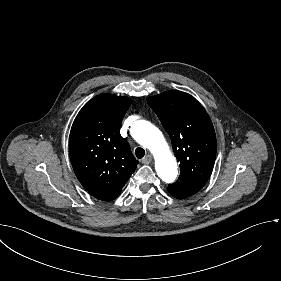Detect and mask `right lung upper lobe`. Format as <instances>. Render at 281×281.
<instances>
[{
    "mask_svg": "<svg viewBox=\"0 0 281 281\" xmlns=\"http://www.w3.org/2000/svg\"><path fill=\"white\" fill-rule=\"evenodd\" d=\"M130 103L123 96H96L81 109L71 128L69 154L74 172L83 187L100 200L114 199L138 164L120 135Z\"/></svg>",
    "mask_w": 281,
    "mask_h": 281,
    "instance_id": "cb5924a9",
    "label": "right lung upper lobe"
}]
</instances>
